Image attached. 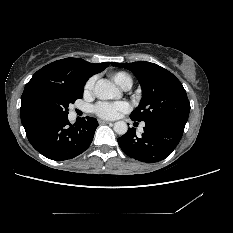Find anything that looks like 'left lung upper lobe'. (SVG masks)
I'll use <instances>...</instances> for the list:
<instances>
[{
    "instance_id": "5c2ea615",
    "label": "left lung upper lobe",
    "mask_w": 233,
    "mask_h": 233,
    "mask_svg": "<svg viewBox=\"0 0 233 233\" xmlns=\"http://www.w3.org/2000/svg\"><path fill=\"white\" fill-rule=\"evenodd\" d=\"M111 64L132 71L141 84L142 99L130 115L132 120L185 127L190 103L181 82L171 72L146 61Z\"/></svg>"
}]
</instances>
